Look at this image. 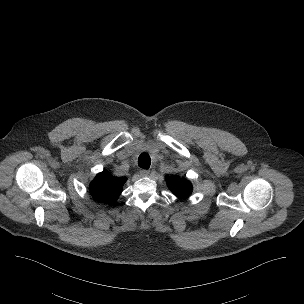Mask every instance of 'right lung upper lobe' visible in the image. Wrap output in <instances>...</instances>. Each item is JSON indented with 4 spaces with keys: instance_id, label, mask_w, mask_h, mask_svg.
<instances>
[{
    "instance_id": "cb5924a9",
    "label": "right lung upper lobe",
    "mask_w": 304,
    "mask_h": 304,
    "mask_svg": "<svg viewBox=\"0 0 304 304\" xmlns=\"http://www.w3.org/2000/svg\"><path fill=\"white\" fill-rule=\"evenodd\" d=\"M126 178H115L108 171H103L90 184V192L94 199L114 203L122 192Z\"/></svg>"
}]
</instances>
